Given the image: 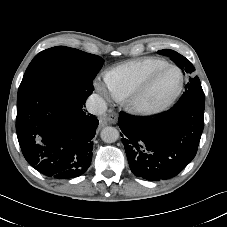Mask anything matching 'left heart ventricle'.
<instances>
[{
	"label": "left heart ventricle",
	"instance_id": "b2bd125f",
	"mask_svg": "<svg viewBox=\"0 0 227 227\" xmlns=\"http://www.w3.org/2000/svg\"><path fill=\"white\" fill-rule=\"evenodd\" d=\"M179 82V74L174 69L164 71L153 83L142 102L146 105H154L165 100L176 89Z\"/></svg>",
	"mask_w": 227,
	"mask_h": 227
}]
</instances>
